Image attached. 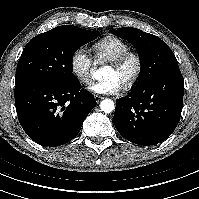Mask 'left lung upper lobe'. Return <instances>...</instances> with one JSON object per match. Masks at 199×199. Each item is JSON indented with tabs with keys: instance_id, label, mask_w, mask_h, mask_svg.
Masks as SVG:
<instances>
[{
	"instance_id": "left-lung-upper-lobe-1",
	"label": "left lung upper lobe",
	"mask_w": 199,
	"mask_h": 199,
	"mask_svg": "<svg viewBox=\"0 0 199 199\" xmlns=\"http://www.w3.org/2000/svg\"><path fill=\"white\" fill-rule=\"evenodd\" d=\"M114 34L137 48L142 70L135 88L144 86L163 73L179 69L175 55L159 37L132 27L119 28Z\"/></svg>"
}]
</instances>
